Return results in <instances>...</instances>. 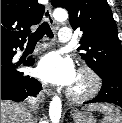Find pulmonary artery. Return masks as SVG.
<instances>
[{"instance_id":"1","label":"pulmonary artery","mask_w":122,"mask_h":123,"mask_svg":"<svg viewBox=\"0 0 122 123\" xmlns=\"http://www.w3.org/2000/svg\"><path fill=\"white\" fill-rule=\"evenodd\" d=\"M58 40L61 43H68L72 40V32L69 28L63 27L58 32Z\"/></svg>"}]
</instances>
